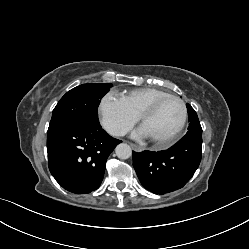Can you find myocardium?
<instances>
[{
    "mask_svg": "<svg viewBox=\"0 0 249 249\" xmlns=\"http://www.w3.org/2000/svg\"><path fill=\"white\" fill-rule=\"evenodd\" d=\"M170 99H174L180 102L182 109H183V116H182V120L180 125L178 126V128L174 131V133H172L170 136L164 138V139H151L152 142L155 144L156 147L158 148H167L171 145H173L177 139L180 137L181 133L183 132L187 120H188V108L187 105L185 103V101L177 96V95H167L164 97H161L157 100H155L154 102H152L151 104H149L147 107H145L142 112L139 115V121L142 124L143 121L150 115H152L157 109L158 107L165 101L170 100Z\"/></svg>",
    "mask_w": 249,
    "mask_h": 249,
    "instance_id": "f54148a6",
    "label": "myocardium"
}]
</instances>
